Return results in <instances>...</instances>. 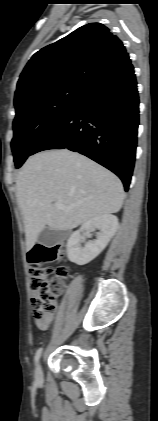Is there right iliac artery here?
Listing matches in <instances>:
<instances>
[{
  "label": "right iliac artery",
  "mask_w": 158,
  "mask_h": 421,
  "mask_svg": "<svg viewBox=\"0 0 158 421\" xmlns=\"http://www.w3.org/2000/svg\"><path fill=\"white\" fill-rule=\"evenodd\" d=\"M42 350H43V348H39V349L37 350V352H36V354H35V357H34L35 364L39 361L40 356H41V354H42Z\"/></svg>",
  "instance_id": "82829eb1"
}]
</instances>
